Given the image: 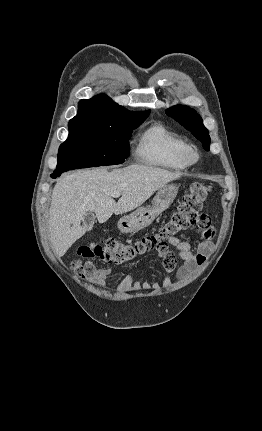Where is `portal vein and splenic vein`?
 <instances>
[{
	"instance_id": "1",
	"label": "portal vein and splenic vein",
	"mask_w": 262,
	"mask_h": 431,
	"mask_svg": "<svg viewBox=\"0 0 262 431\" xmlns=\"http://www.w3.org/2000/svg\"><path fill=\"white\" fill-rule=\"evenodd\" d=\"M111 196H112L113 198H118V197L120 196V192L115 191V192H113V193L111 194Z\"/></svg>"
}]
</instances>
